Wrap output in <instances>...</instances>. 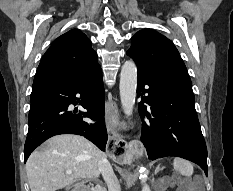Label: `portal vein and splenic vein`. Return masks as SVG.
Instances as JSON below:
<instances>
[{
    "instance_id": "portal-vein-and-splenic-vein-1",
    "label": "portal vein and splenic vein",
    "mask_w": 233,
    "mask_h": 191,
    "mask_svg": "<svg viewBox=\"0 0 233 191\" xmlns=\"http://www.w3.org/2000/svg\"><path fill=\"white\" fill-rule=\"evenodd\" d=\"M73 173V171L72 170H66V174H72Z\"/></svg>"
}]
</instances>
